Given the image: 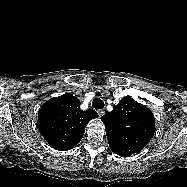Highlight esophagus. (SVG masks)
Listing matches in <instances>:
<instances>
[{
	"mask_svg": "<svg viewBox=\"0 0 187 187\" xmlns=\"http://www.w3.org/2000/svg\"><path fill=\"white\" fill-rule=\"evenodd\" d=\"M97 112L99 116H103L105 114V109H99Z\"/></svg>",
	"mask_w": 187,
	"mask_h": 187,
	"instance_id": "esophagus-1",
	"label": "esophagus"
}]
</instances>
